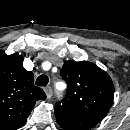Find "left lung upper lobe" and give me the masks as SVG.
<instances>
[{
  "label": "left lung upper lobe",
  "mask_w": 130,
  "mask_h": 130,
  "mask_svg": "<svg viewBox=\"0 0 130 130\" xmlns=\"http://www.w3.org/2000/svg\"><path fill=\"white\" fill-rule=\"evenodd\" d=\"M67 82V94L56 103L69 110L101 121L108 113L114 97L110 76L88 61H66L60 71Z\"/></svg>",
  "instance_id": "obj_1"
}]
</instances>
